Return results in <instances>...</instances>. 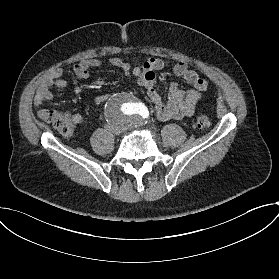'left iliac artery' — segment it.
<instances>
[{"label": "left iliac artery", "instance_id": "left-iliac-artery-1", "mask_svg": "<svg viewBox=\"0 0 279 279\" xmlns=\"http://www.w3.org/2000/svg\"><path fill=\"white\" fill-rule=\"evenodd\" d=\"M140 115L143 117V118H147L149 116V111L148 109L143 106L142 108H140Z\"/></svg>", "mask_w": 279, "mask_h": 279}]
</instances>
